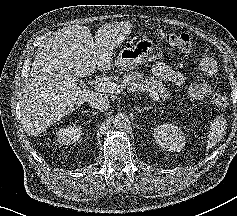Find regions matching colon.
I'll return each mask as SVG.
<instances>
[{"mask_svg": "<svg viewBox=\"0 0 237 216\" xmlns=\"http://www.w3.org/2000/svg\"><path fill=\"white\" fill-rule=\"evenodd\" d=\"M159 37L165 40L172 47L181 50L189 51L191 48V38L185 33H164L159 32ZM214 103L217 108L225 109L228 106V98L222 94L214 96Z\"/></svg>", "mask_w": 237, "mask_h": 216, "instance_id": "1", "label": "colon"}]
</instances>
